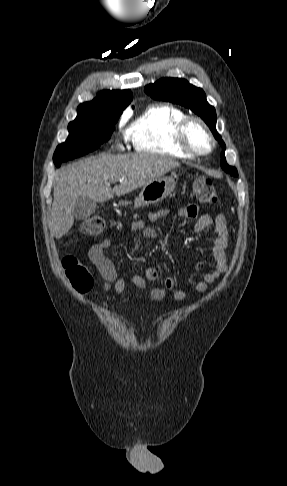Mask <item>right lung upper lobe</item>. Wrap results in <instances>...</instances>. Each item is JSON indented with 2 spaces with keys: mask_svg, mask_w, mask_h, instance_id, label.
<instances>
[{
  "mask_svg": "<svg viewBox=\"0 0 287 486\" xmlns=\"http://www.w3.org/2000/svg\"><path fill=\"white\" fill-rule=\"evenodd\" d=\"M132 99L133 96L130 90L101 91L92 101L80 104L78 110L100 109L122 113Z\"/></svg>",
  "mask_w": 287,
  "mask_h": 486,
  "instance_id": "right-lung-upper-lobe-1",
  "label": "right lung upper lobe"
}]
</instances>
